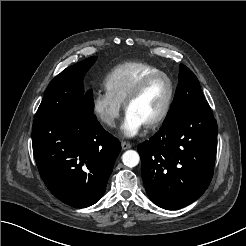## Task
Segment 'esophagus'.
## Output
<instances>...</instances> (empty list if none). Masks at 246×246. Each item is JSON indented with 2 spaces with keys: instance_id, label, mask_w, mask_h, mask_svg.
<instances>
[{
  "instance_id": "esophagus-1",
  "label": "esophagus",
  "mask_w": 246,
  "mask_h": 246,
  "mask_svg": "<svg viewBox=\"0 0 246 246\" xmlns=\"http://www.w3.org/2000/svg\"><path fill=\"white\" fill-rule=\"evenodd\" d=\"M121 147L123 150H127V149H130L132 147V145L128 142H125V141H122L121 142Z\"/></svg>"
}]
</instances>
